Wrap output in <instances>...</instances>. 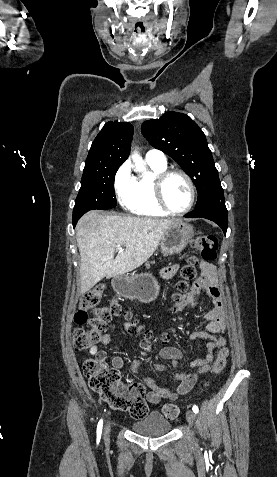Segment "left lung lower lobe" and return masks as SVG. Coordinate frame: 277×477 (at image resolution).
I'll use <instances>...</instances> for the list:
<instances>
[{
  "label": "left lung lower lobe",
  "instance_id": "left-lung-lower-lobe-1",
  "mask_svg": "<svg viewBox=\"0 0 277 477\" xmlns=\"http://www.w3.org/2000/svg\"><path fill=\"white\" fill-rule=\"evenodd\" d=\"M189 218H206L217 223L226 234L228 227V212L225 206L223 189L215 190L211 196L191 213L185 215Z\"/></svg>",
  "mask_w": 277,
  "mask_h": 477
}]
</instances>
